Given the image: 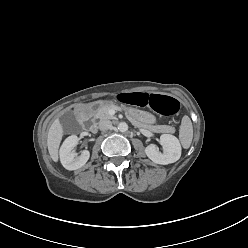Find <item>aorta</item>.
Returning a JSON list of instances; mask_svg holds the SVG:
<instances>
[{"label":"aorta","mask_w":248,"mask_h":248,"mask_svg":"<svg viewBox=\"0 0 248 248\" xmlns=\"http://www.w3.org/2000/svg\"><path fill=\"white\" fill-rule=\"evenodd\" d=\"M118 130H119L120 132H126V131L128 130V124L125 123V122H120V123L118 124Z\"/></svg>","instance_id":"1"}]
</instances>
